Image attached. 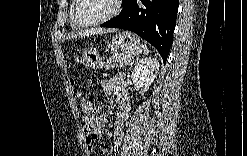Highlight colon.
Segmentation results:
<instances>
[{"mask_svg": "<svg viewBox=\"0 0 247 156\" xmlns=\"http://www.w3.org/2000/svg\"><path fill=\"white\" fill-rule=\"evenodd\" d=\"M100 112H103V101H98V104H94V107H88L84 121H82L86 134L91 138H95L99 134V125L97 124L101 120Z\"/></svg>", "mask_w": 247, "mask_h": 156, "instance_id": "obj_1", "label": "colon"}]
</instances>
